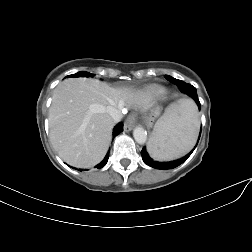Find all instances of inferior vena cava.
I'll return each mask as SVG.
<instances>
[{"mask_svg": "<svg viewBox=\"0 0 252 252\" xmlns=\"http://www.w3.org/2000/svg\"><path fill=\"white\" fill-rule=\"evenodd\" d=\"M106 112L112 117L115 123L119 122L123 117L121 110L113 106H107Z\"/></svg>", "mask_w": 252, "mask_h": 252, "instance_id": "602c4592", "label": "inferior vena cava"}]
</instances>
